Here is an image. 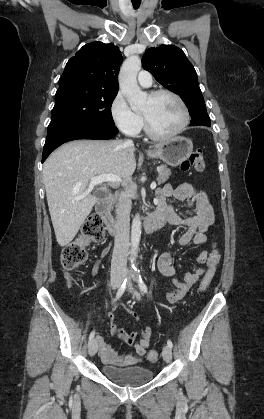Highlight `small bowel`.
<instances>
[{"label":"small bowel","instance_id":"obj_1","mask_svg":"<svg viewBox=\"0 0 264 419\" xmlns=\"http://www.w3.org/2000/svg\"><path fill=\"white\" fill-rule=\"evenodd\" d=\"M168 198L177 201H186L188 205L195 209V213L188 216L179 215L168 203ZM158 209L156 214L159 215L164 224L168 227L185 226V232L179 239L181 246H186L193 242L196 245H204L207 242V231L214 222V213L209 203L208 197L204 191L191 183H183L176 188L171 185H165L157 192L156 197ZM107 254V249L102 252V257ZM220 255L217 250H202L197 256L198 264H206L209 268H216L219 263ZM100 261L96 262L93 267V274L99 271ZM158 269L160 273L166 277L172 278L173 290L166 295L170 303H176L182 300L199 278L205 273L203 267H193L187 271L182 280L175 277L176 269L172 263V256L169 252H165L158 258ZM116 315L114 310L108 313V334L122 339L135 349V355L121 356L114 351L107 343L105 338L97 333V350L103 363L113 366H126L139 363L147 354L152 337V329L145 327L139 331L127 333L116 326Z\"/></svg>","mask_w":264,"mask_h":419}]
</instances>
